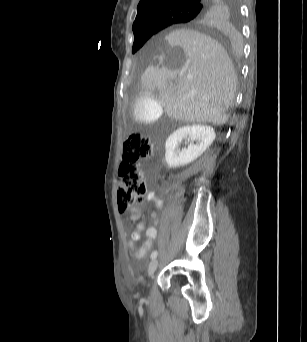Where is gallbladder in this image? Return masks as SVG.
<instances>
[{
	"label": "gallbladder",
	"instance_id": "1",
	"mask_svg": "<svg viewBox=\"0 0 307 342\" xmlns=\"http://www.w3.org/2000/svg\"><path fill=\"white\" fill-rule=\"evenodd\" d=\"M136 100L133 111L136 123H156V118H160V101L153 99L152 95H138Z\"/></svg>",
	"mask_w": 307,
	"mask_h": 342
}]
</instances>
